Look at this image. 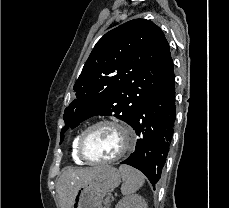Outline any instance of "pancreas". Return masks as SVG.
<instances>
[{
    "label": "pancreas",
    "instance_id": "1",
    "mask_svg": "<svg viewBox=\"0 0 229 208\" xmlns=\"http://www.w3.org/2000/svg\"><path fill=\"white\" fill-rule=\"evenodd\" d=\"M104 206H108V200H105V202H103Z\"/></svg>",
    "mask_w": 229,
    "mask_h": 208
}]
</instances>
